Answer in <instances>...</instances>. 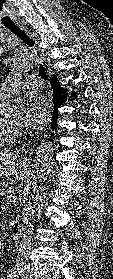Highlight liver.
Returning a JSON list of instances; mask_svg holds the SVG:
<instances>
[{
	"label": "liver",
	"instance_id": "1",
	"mask_svg": "<svg viewBox=\"0 0 113 279\" xmlns=\"http://www.w3.org/2000/svg\"><path fill=\"white\" fill-rule=\"evenodd\" d=\"M18 156L15 153L1 150L0 152V175L1 176H15L17 180L27 179L29 175L28 166L24 159L19 162Z\"/></svg>",
	"mask_w": 113,
	"mask_h": 279
}]
</instances>
